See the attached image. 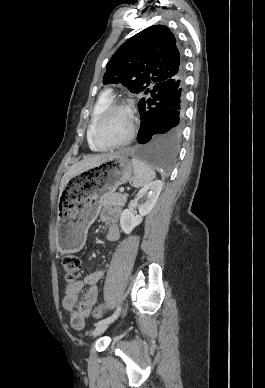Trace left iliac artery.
I'll list each match as a JSON object with an SVG mask.
<instances>
[{
	"label": "left iliac artery",
	"instance_id": "1",
	"mask_svg": "<svg viewBox=\"0 0 265 388\" xmlns=\"http://www.w3.org/2000/svg\"><path fill=\"white\" fill-rule=\"evenodd\" d=\"M120 311H121V308L118 306L116 311L109 317L103 319V320H100L99 322H97L95 325H100V324H104V323H109V322H113L120 314Z\"/></svg>",
	"mask_w": 265,
	"mask_h": 388
}]
</instances>
